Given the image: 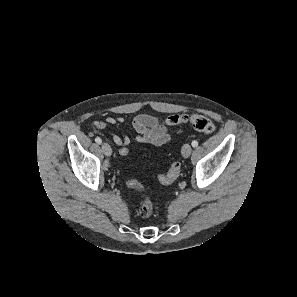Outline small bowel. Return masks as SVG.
<instances>
[{
    "instance_id": "small-bowel-1",
    "label": "small bowel",
    "mask_w": 297,
    "mask_h": 297,
    "mask_svg": "<svg viewBox=\"0 0 297 297\" xmlns=\"http://www.w3.org/2000/svg\"><path fill=\"white\" fill-rule=\"evenodd\" d=\"M130 123L133 130L137 133L135 140L142 144H152L154 146H161L167 143L171 135L167 127L162 124V121L155 116L147 114H139L135 116L130 122H127L123 117H106L103 121H95L92 128L95 133L101 134L109 125L119 126ZM113 141L117 146H126L131 142L129 136H120L118 134H111Z\"/></svg>"
}]
</instances>
